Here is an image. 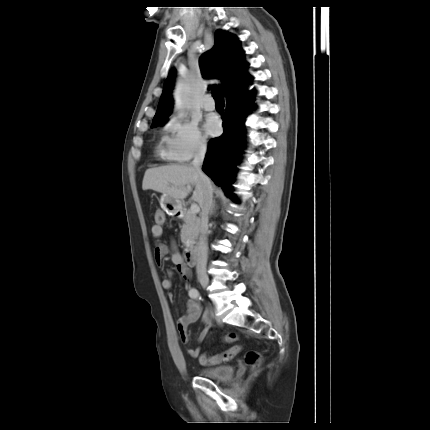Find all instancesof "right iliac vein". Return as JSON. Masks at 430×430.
Segmentation results:
<instances>
[{"label": "right iliac vein", "instance_id": "obj_1", "mask_svg": "<svg viewBox=\"0 0 430 430\" xmlns=\"http://www.w3.org/2000/svg\"><path fill=\"white\" fill-rule=\"evenodd\" d=\"M199 282H200V284L202 285V287H203V288H207V287H208V285H209V278H208V277H206V276L201 277V278L199 279Z\"/></svg>", "mask_w": 430, "mask_h": 430}]
</instances>
